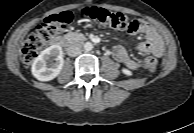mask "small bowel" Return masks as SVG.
Segmentation results:
<instances>
[{
	"label": "small bowel",
	"mask_w": 194,
	"mask_h": 133,
	"mask_svg": "<svg viewBox=\"0 0 194 133\" xmlns=\"http://www.w3.org/2000/svg\"><path fill=\"white\" fill-rule=\"evenodd\" d=\"M125 31L126 34L130 36L138 33L145 36V41L137 46L138 51L150 54L155 58L162 56L164 52L163 40L154 26L143 20H134L127 23ZM112 55L115 60L130 70H137L142 66L141 62L130 57L129 53L122 45H116L112 50Z\"/></svg>",
	"instance_id": "1"
}]
</instances>
